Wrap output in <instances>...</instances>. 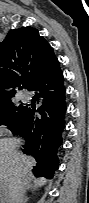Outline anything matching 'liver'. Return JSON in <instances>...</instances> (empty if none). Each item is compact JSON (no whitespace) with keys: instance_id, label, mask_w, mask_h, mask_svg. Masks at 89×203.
Wrapping results in <instances>:
<instances>
[{"instance_id":"1","label":"liver","mask_w":89,"mask_h":203,"mask_svg":"<svg viewBox=\"0 0 89 203\" xmlns=\"http://www.w3.org/2000/svg\"><path fill=\"white\" fill-rule=\"evenodd\" d=\"M19 143L16 138L3 139L0 143V193L2 197H8L9 203H16L21 187L25 192L34 178L31 170L36 161L16 150ZM45 182V179L33 180V188L36 190Z\"/></svg>"}]
</instances>
